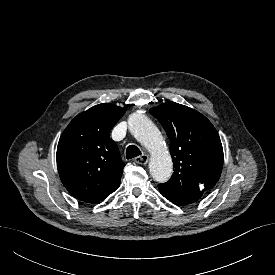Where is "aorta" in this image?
Returning a JSON list of instances; mask_svg holds the SVG:
<instances>
[{
  "label": "aorta",
  "mask_w": 275,
  "mask_h": 275,
  "mask_svg": "<svg viewBox=\"0 0 275 275\" xmlns=\"http://www.w3.org/2000/svg\"><path fill=\"white\" fill-rule=\"evenodd\" d=\"M131 134L151 154L149 169L153 179L166 182L172 174L173 163L165 141L154 123L144 114L134 113L128 119Z\"/></svg>",
  "instance_id": "762f6f07"
}]
</instances>
